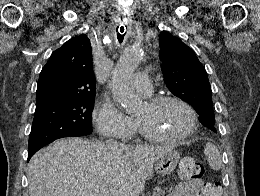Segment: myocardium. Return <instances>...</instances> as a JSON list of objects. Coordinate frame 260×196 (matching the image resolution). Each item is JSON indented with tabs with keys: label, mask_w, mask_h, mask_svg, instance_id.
I'll return each mask as SVG.
<instances>
[{
	"label": "myocardium",
	"mask_w": 260,
	"mask_h": 196,
	"mask_svg": "<svg viewBox=\"0 0 260 196\" xmlns=\"http://www.w3.org/2000/svg\"><path fill=\"white\" fill-rule=\"evenodd\" d=\"M169 102H175L178 103L182 106H184L188 112L191 115V124L189 126V128L183 132L180 135H163V134H159V133H155V132H151L150 130H148L147 128H145L136 118H135V122L136 125L140 131V133L152 140V141H157V142H171V143H181L184 141H187L191 135L197 130L198 128V114L196 112V110L194 109V107L189 104L187 101H185L184 99H182L179 96L176 95H160V96H155L152 98L147 99L146 104L149 108H156L159 107L165 103H169Z\"/></svg>",
	"instance_id": "obj_1"
}]
</instances>
